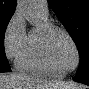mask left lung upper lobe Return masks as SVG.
I'll return each mask as SVG.
<instances>
[{
	"label": "left lung upper lobe",
	"mask_w": 89,
	"mask_h": 89,
	"mask_svg": "<svg viewBox=\"0 0 89 89\" xmlns=\"http://www.w3.org/2000/svg\"><path fill=\"white\" fill-rule=\"evenodd\" d=\"M48 3L78 48L77 73L89 72V0H48Z\"/></svg>",
	"instance_id": "1"
}]
</instances>
